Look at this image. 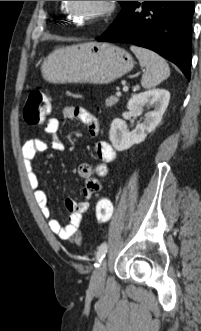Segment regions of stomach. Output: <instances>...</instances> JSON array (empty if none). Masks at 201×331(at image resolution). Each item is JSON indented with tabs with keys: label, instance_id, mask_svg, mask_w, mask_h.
<instances>
[{
	"label": "stomach",
	"instance_id": "1",
	"mask_svg": "<svg viewBox=\"0 0 201 331\" xmlns=\"http://www.w3.org/2000/svg\"><path fill=\"white\" fill-rule=\"evenodd\" d=\"M129 52L106 42H85L56 48L41 65L53 83L108 84L132 70Z\"/></svg>",
	"mask_w": 201,
	"mask_h": 331
}]
</instances>
